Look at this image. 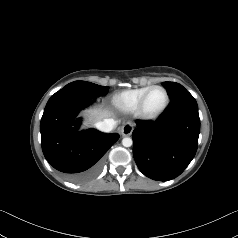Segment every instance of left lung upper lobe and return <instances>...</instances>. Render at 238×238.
Instances as JSON below:
<instances>
[{"mask_svg":"<svg viewBox=\"0 0 238 238\" xmlns=\"http://www.w3.org/2000/svg\"><path fill=\"white\" fill-rule=\"evenodd\" d=\"M163 85L167 89L171 99L175 98L179 94L187 91L182 85L175 82H163Z\"/></svg>","mask_w":238,"mask_h":238,"instance_id":"left-lung-upper-lobe-1","label":"left lung upper lobe"}]
</instances>
